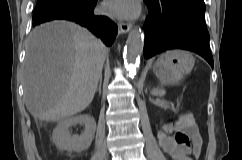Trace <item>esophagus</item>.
I'll return each mask as SVG.
<instances>
[{"label": "esophagus", "mask_w": 242, "mask_h": 160, "mask_svg": "<svg viewBox=\"0 0 242 160\" xmlns=\"http://www.w3.org/2000/svg\"><path fill=\"white\" fill-rule=\"evenodd\" d=\"M118 27L120 33H127L131 30L132 24L126 22H119Z\"/></svg>", "instance_id": "34e87169"}]
</instances>
